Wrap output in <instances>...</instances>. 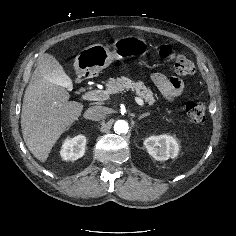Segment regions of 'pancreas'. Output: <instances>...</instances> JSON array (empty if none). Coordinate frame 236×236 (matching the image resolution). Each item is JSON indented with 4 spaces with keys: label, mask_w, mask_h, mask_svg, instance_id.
I'll use <instances>...</instances> for the list:
<instances>
[{
    "label": "pancreas",
    "mask_w": 236,
    "mask_h": 236,
    "mask_svg": "<svg viewBox=\"0 0 236 236\" xmlns=\"http://www.w3.org/2000/svg\"><path fill=\"white\" fill-rule=\"evenodd\" d=\"M107 86V94H115L124 90H131L136 92V94L142 96V98L149 104L153 105L155 103L154 93L149 87L142 81L133 82L127 77L122 76L121 78H110Z\"/></svg>",
    "instance_id": "obj_1"
}]
</instances>
